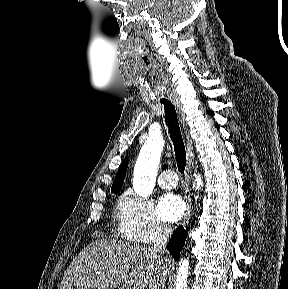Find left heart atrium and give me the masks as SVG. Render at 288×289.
<instances>
[{"mask_svg": "<svg viewBox=\"0 0 288 289\" xmlns=\"http://www.w3.org/2000/svg\"><path fill=\"white\" fill-rule=\"evenodd\" d=\"M185 210V202L175 193L164 194L160 197L157 204L159 216L168 222L179 220L184 215Z\"/></svg>", "mask_w": 288, "mask_h": 289, "instance_id": "1", "label": "left heart atrium"}]
</instances>
